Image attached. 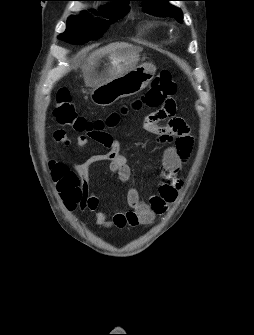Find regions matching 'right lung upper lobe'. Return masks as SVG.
Here are the masks:
<instances>
[{
    "mask_svg": "<svg viewBox=\"0 0 254 335\" xmlns=\"http://www.w3.org/2000/svg\"><path fill=\"white\" fill-rule=\"evenodd\" d=\"M92 1H115L116 3L112 6H126L131 0H92Z\"/></svg>",
    "mask_w": 254,
    "mask_h": 335,
    "instance_id": "obj_1",
    "label": "right lung upper lobe"
}]
</instances>
